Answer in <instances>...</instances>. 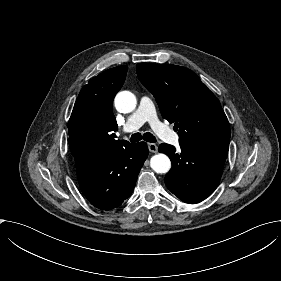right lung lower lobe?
Instances as JSON below:
<instances>
[{"mask_svg":"<svg viewBox=\"0 0 281 281\" xmlns=\"http://www.w3.org/2000/svg\"><path fill=\"white\" fill-rule=\"evenodd\" d=\"M147 156L145 142L73 156L81 191L96 208L111 210L120 206L132 194Z\"/></svg>","mask_w":281,"mask_h":281,"instance_id":"98d812e1","label":"right lung lower lobe"}]
</instances>
